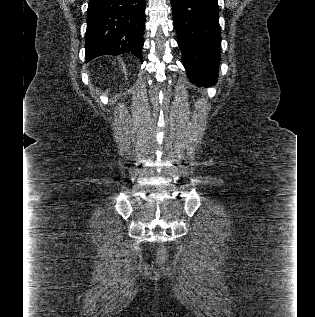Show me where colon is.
Instances as JSON below:
<instances>
[{
    "label": "colon",
    "instance_id": "1",
    "mask_svg": "<svg viewBox=\"0 0 315 317\" xmlns=\"http://www.w3.org/2000/svg\"><path fill=\"white\" fill-rule=\"evenodd\" d=\"M158 257L161 261H163L166 258V251L164 249H161L159 251Z\"/></svg>",
    "mask_w": 315,
    "mask_h": 317
}]
</instances>
